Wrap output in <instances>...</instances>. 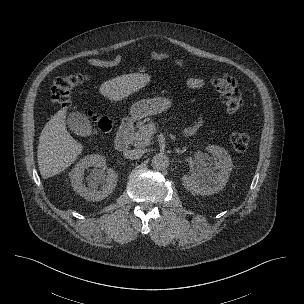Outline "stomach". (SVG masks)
Returning <instances> with one entry per match:
<instances>
[{
  "label": "stomach",
  "mask_w": 304,
  "mask_h": 304,
  "mask_svg": "<svg viewBox=\"0 0 304 304\" xmlns=\"http://www.w3.org/2000/svg\"><path fill=\"white\" fill-rule=\"evenodd\" d=\"M170 107L171 101L165 97L142 99L131 106L130 115L132 120H140L167 111Z\"/></svg>",
  "instance_id": "0dacf381"
}]
</instances>
